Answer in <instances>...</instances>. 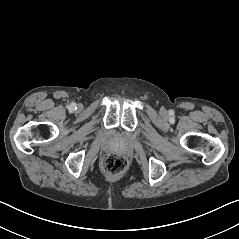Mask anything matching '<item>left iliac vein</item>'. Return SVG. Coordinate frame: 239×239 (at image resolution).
Listing matches in <instances>:
<instances>
[{"label": "left iliac vein", "instance_id": "1", "mask_svg": "<svg viewBox=\"0 0 239 239\" xmlns=\"http://www.w3.org/2000/svg\"><path fill=\"white\" fill-rule=\"evenodd\" d=\"M160 113H161L162 116H166V114H167V113H166V110H164V109H162V110L160 111Z\"/></svg>", "mask_w": 239, "mask_h": 239}]
</instances>
